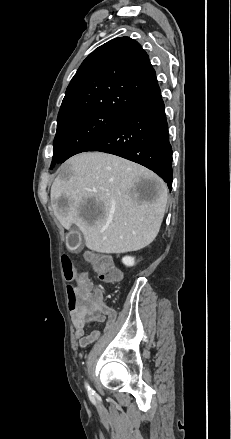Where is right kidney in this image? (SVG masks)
I'll return each instance as SVG.
<instances>
[{"instance_id":"ca27d5eb","label":"right kidney","mask_w":231,"mask_h":439,"mask_svg":"<svg viewBox=\"0 0 231 439\" xmlns=\"http://www.w3.org/2000/svg\"><path fill=\"white\" fill-rule=\"evenodd\" d=\"M122 262L126 265V266H133L135 264V260L133 257L130 256H125L122 259Z\"/></svg>"}]
</instances>
